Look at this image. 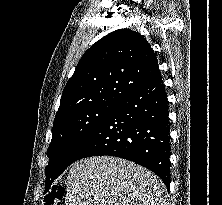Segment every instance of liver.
<instances>
[{"label":"liver","mask_w":222,"mask_h":205,"mask_svg":"<svg viewBox=\"0 0 222 205\" xmlns=\"http://www.w3.org/2000/svg\"><path fill=\"white\" fill-rule=\"evenodd\" d=\"M164 183L151 171L111 156L74 162L65 205H166Z\"/></svg>","instance_id":"liver-1"}]
</instances>
